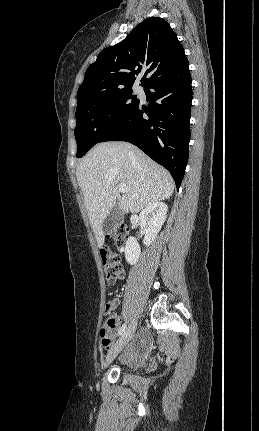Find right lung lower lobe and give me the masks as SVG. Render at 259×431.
<instances>
[{
  "instance_id": "98d812e1",
  "label": "right lung lower lobe",
  "mask_w": 259,
  "mask_h": 431,
  "mask_svg": "<svg viewBox=\"0 0 259 431\" xmlns=\"http://www.w3.org/2000/svg\"><path fill=\"white\" fill-rule=\"evenodd\" d=\"M144 91L148 108L138 104L100 142L128 141L136 145L171 173L179 189L190 141L189 65L153 82ZM144 113L148 118L143 117Z\"/></svg>"
}]
</instances>
